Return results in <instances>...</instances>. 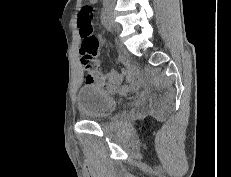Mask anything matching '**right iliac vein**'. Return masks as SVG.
<instances>
[{"label": "right iliac vein", "mask_w": 231, "mask_h": 177, "mask_svg": "<svg viewBox=\"0 0 231 177\" xmlns=\"http://www.w3.org/2000/svg\"><path fill=\"white\" fill-rule=\"evenodd\" d=\"M107 15H108L109 19L112 21V23L114 24V26L117 28V30H119V29H120L119 26L116 25V24L113 22V13H112V10L108 9Z\"/></svg>", "instance_id": "63e3f726"}]
</instances>
